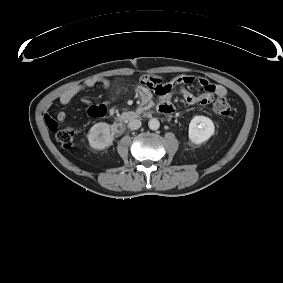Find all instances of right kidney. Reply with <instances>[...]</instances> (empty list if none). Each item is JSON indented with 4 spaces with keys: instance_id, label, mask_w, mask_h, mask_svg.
Returning <instances> with one entry per match:
<instances>
[{
    "instance_id": "right-kidney-1",
    "label": "right kidney",
    "mask_w": 283,
    "mask_h": 283,
    "mask_svg": "<svg viewBox=\"0 0 283 283\" xmlns=\"http://www.w3.org/2000/svg\"><path fill=\"white\" fill-rule=\"evenodd\" d=\"M89 145L96 150H104L109 147L113 141L110 125L105 122L94 124L87 135Z\"/></svg>"
}]
</instances>
